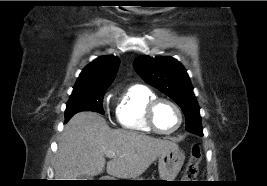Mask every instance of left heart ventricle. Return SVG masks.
<instances>
[{
    "label": "left heart ventricle",
    "instance_id": "obj_1",
    "mask_svg": "<svg viewBox=\"0 0 267 186\" xmlns=\"http://www.w3.org/2000/svg\"><path fill=\"white\" fill-rule=\"evenodd\" d=\"M154 119L157 127L163 131L174 129L178 123L176 110L170 104L165 102L157 105Z\"/></svg>",
    "mask_w": 267,
    "mask_h": 186
}]
</instances>
